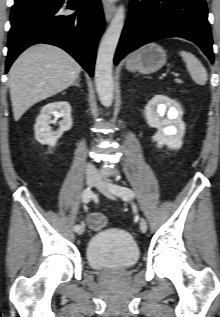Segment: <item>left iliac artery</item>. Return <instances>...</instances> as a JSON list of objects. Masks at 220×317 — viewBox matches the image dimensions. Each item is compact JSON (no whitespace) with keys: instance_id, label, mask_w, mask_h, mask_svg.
I'll use <instances>...</instances> for the list:
<instances>
[{"instance_id":"44dca946","label":"left iliac artery","mask_w":220,"mask_h":317,"mask_svg":"<svg viewBox=\"0 0 220 317\" xmlns=\"http://www.w3.org/2000/svg\"><path fill=\"white\" fill-rule=\"evenodd\" d=\"M112 189L114 194L120 196L124 200H129L130 198L135 197V193L130 188L123 186H113Z\"/></svg>"}]
</instances>
